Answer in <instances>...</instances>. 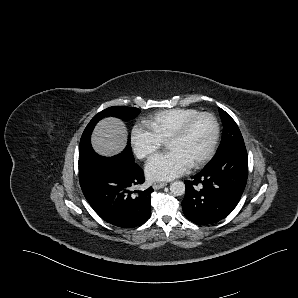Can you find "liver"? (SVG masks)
I'll list each match as a JSON object with an SVG mask.
<instances>
[{
	"label": "liver",
	"instance_id": "liver-1",
	"mask_svg": "<svg viewBox=\"0 0 298 298\" xmlns=\"http://www.w3.org/2000/svg\"><path fill=\"white\" fill-rule=\"evenodd\" d=\"M127 139L128 129L123 120L115 116H107L94 126L90 144L96 154L109 158L125 150Z\"/></svg>",
	"mask_w": 298,
	"mask_h": 298
}]
</instances>
